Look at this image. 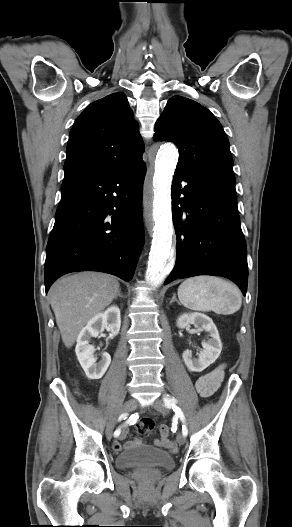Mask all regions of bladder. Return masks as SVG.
Listing matches in <instances>:
<instances>
[{
    "label": "bladder",
    "mask_w": 292,
    "mask_h": 527,
    "mask_svg": "<svg viewBox=\"0 0 292 527\" xmlns=\"http://www.w3.org/2000/svg\"><path fill=\"white\" fill-rule=\"evenodd\" d=\"M119 469L151 467L169 469L174 465L173 457L166 451L150 447L135 446L120 453L116 459Z\"/></svg>",
    "instance_id": "1"
}]
</instances>
